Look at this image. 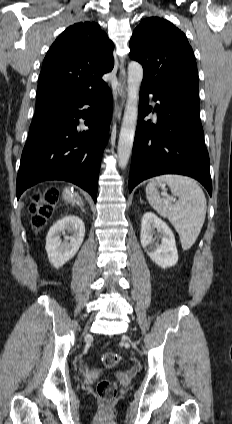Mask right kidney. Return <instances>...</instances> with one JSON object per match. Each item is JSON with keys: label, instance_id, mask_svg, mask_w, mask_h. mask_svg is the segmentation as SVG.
I'll list each match as a JSON object with an SVG mask.
<instances>
[{"label": "right kidney", "instance_id": "1", "mask_svg": "<svg viewBox=\"0 0 232 424\" xmlns=\"http://www.w3.org/2000/svg\"><path fill=\"white\" fill-rule=\"evenodd\" d=\"M65 232L72 234L65 236ZM64 235L62 241L60 236ZM85 236L83 221L74 215L65 216L57 221L46 237V251L50 263L59 268L75 256Z\"/></svg>", "mask_w": 232, "mask_h": 424}]
</instances>
